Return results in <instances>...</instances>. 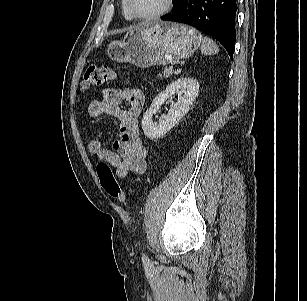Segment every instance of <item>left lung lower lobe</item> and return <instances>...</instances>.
Here are the masks:
<instances>
[{
	"mask_svg": "<svg viewBox=\"0 0 307 301\" xmlns=\"http://www.w3.org/2000/svg\"><path fill=\"white\" fill-rule=\"evenodd\" d=\"M236 0H180L162 20L192 25L218 40L230 58L236 41Z\"/></svg>",
	"mask_w": 307,
	"mask_h": 301,
	"instance_id": "obj_1",
	"label": "left lung lower lobe"
}]
</instances>
